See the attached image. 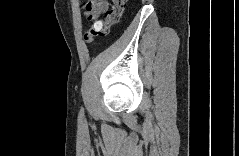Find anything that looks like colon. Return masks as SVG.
Wrapping results in <instances>:
<instances>
[{
    "mask_svg": "<svg viewBox=\"0 0 239 156\" xmlns=\"http://www.w3.org/2000/svg\"><path fill=\"white\" fill-rule=\"evenodd\" d=\"M125 8V0H110L104 20H97L84 33L86 43H92L96 37L108 35L110 27L120 21Z\"/></svg>",
    "mask_w": 239,
    "mask_h": 156,
    "instance_id": "colon-1",
    "label": "colon"
}]
</instances>
